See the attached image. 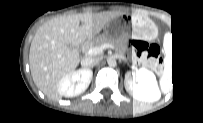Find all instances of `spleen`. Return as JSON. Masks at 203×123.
<instances>
[{
	"label": "spleen",
	"instance_id": "spleen-1",
	"mask_svg": "<svg viewBox=\"0 0 203 123\" xmlns=\"http://www.w3.org/2000/svg\"><path fill=\"white\" fill-rule=\"evenodd\" d=\"M166 67L163 75L159 80V87L163 94H167L173 90L172 83V41H168L165 45Z\"/></svg>",
	"mask_w": 203,
	"mask_h": 123
}]
</instances>
